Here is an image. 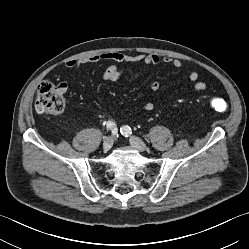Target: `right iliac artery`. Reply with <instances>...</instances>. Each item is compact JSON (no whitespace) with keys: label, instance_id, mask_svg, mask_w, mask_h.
I'll return each instance as SVG.
<instances>
[{"label":"right iliac artery","instance_id":"right-iliac-artery-1","mask_svg":"<svg viewBox=\"0 0 249 249\" xmlns=\"http://www.w3.org/2000/svg\"><path fill=\"white\" fill-rule=\"evenodd\" d=\"M106 127L108 130L116 131V124L113 121H108Z\"/></svg>","mask_w":249,"mask_h":249}]
</instances>
